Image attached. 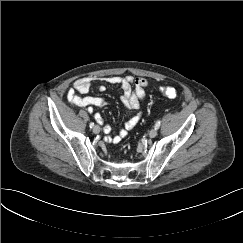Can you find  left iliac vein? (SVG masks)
<instances>
[{
  "mask_svg": "<svg viewBox=\"0 0 243 243\" xmlns=\"http://www.w3.org/2000/svg\"><path fill=\"white\" fill-rule=\"evenodd\" d=\"M156 136H157V129L156 128L151 129L149 132V137L154 138Z\"/></svg>",
  "mask_w": 243,
  "mask_h": 243,
  "instance_id": "obj_1",
  "label": "left iliac vein"
}]
</instances>
